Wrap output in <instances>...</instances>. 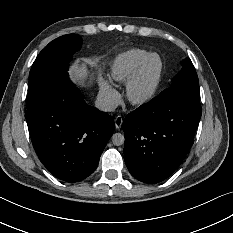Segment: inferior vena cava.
Segmentation results:
<instances>
[{
  "mask_svg": "<svg viewBox=\"0 0 233 233\" xmlns=\"http://www.w3.org/2000/svg\"><path fill=\"white\" fill-rule=\"evenodd\" d=\"M95 107L101 111L111 112L116 109V104L111 99L105 97H97Z\"/></svg>",
  "mask_w": 233,
  "mask_h": 233,
  "instance_id": "1",
  "label": "inferior vena cava"
}]
</instances>
